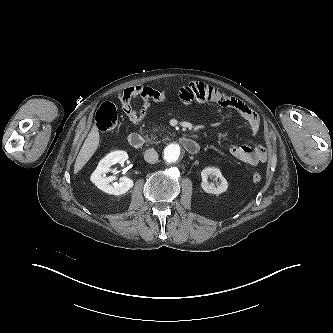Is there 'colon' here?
Returning <instances> with one entry per match:
<instances>
[{
	"label": "colon",
	"mask_w": 333,
	"mask_h": 333,
	"mask_svg": "<svg viewBox=\"0 0 333 333\" xmlns=\"http://www.w3.org/2000/svg\"><path fill=\"white\" fill-rule=\"evenodd\" d=\"M118 122L117 110L114 104L104 102L97 110L95 123L97 128L102 132H110L115 129ZM254 182H260L262 175L258 172L252 175Z\"/></svg>",
	"instance_id": "obj_1"
}]
</instances>
